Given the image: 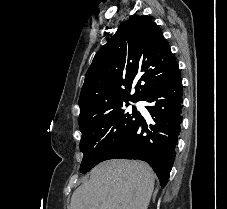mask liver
<instances>
[{
	"instance_id": "1",
	"label": "liver",
	"mask_w": 227,
	"mask_h": 209,
	"mask_svg": "<svg viewBox=\"0 0 227 209\" xmlns=\"http://www.w3.org/2000/svg\"><path fill=\"white\" fill-rule=\"evenodd\" d=\"M153 189L149 165L113 159L92 169L88 183L74 191L70 209H148Z\"/></svg>"
}]
</instances>
